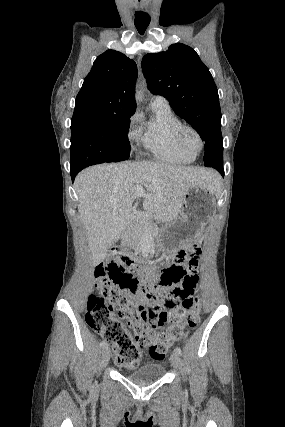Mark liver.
Here are the masks:
<instances>
[{
  "label": "liver",
  "instance_id": "obj_1",
  "mask_svg": "<svg viewBox=\"0 0 285 427\" xmlns=\"http://www.w3.org/2000/svg\"><path fill=\"white\" fill-rule=\"evenodd\" d=\"M218 180L211 169L163 162L111 163L84 169L75 179V190L93 264L102 262L112 244L133 225L136 198H144L143 208L155 220L169 224L178 218L189 188L198 185L217 193Z\"/></svg>",
  "mask_w": 285,
  "mask_h": 427
}]
</instances>
